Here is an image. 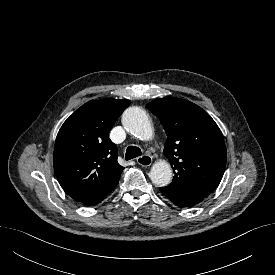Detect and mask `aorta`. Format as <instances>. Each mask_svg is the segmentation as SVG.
<instances>
[{
  "label": "aorta",
  "mask_w": 275,
  "mask_h": 275,
  "mask_svg": "<svg viewBox=\"0 0 275 275\" xmlns=\"http://www.w3.org/2000/svg\"><path fill=\"white\" fill-rule=\"evenodd\" d=\"M124 128L142 140H149L153 136V129L147 113L140 107L128 108L122 116ZM151 181L159 187L167 186L172 180V169L168 162H156L150 170Z\"/></svg>",
  "instance_id": "obj_1"
}]
</instances>
